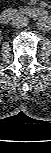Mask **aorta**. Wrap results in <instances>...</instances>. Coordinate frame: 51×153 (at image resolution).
I'll list each match as a JSON object with an SVG mask.
<instances>
[{
	"label": "aorta",
	"mask_w": 51,
	"mask_h": 153,
	"mask_svg": "<svg viewBox=\"0 0 51 153\" xmlns=\"http://www.w3.org/2000/svg\"><path fill=\"white\" fill-rule=\"evenodd\" d=\"M36 26L40 30H49L51 27V18L49 15L41 16L36 23Z\"/></svg>",
	"instance_id": "1"
}]
</instances>
